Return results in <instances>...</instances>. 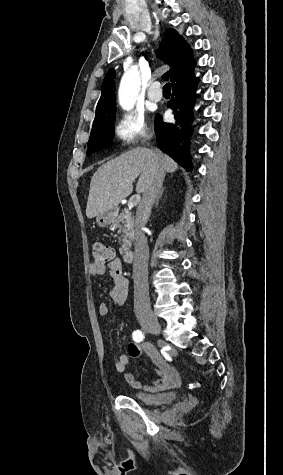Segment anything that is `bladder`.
Returning <instances> with one entry per match:
<instances>
[{
  "mask_svg": "<svg viewBox=\"0 0 283 475\" xmlns=\"http://www.w3.org/2000/svg\"><path fill=\"white\" fill-rule=\"evenodd\" d=\"M130 398L146 405H158L167 403L170 400L175 402L177 394L173 392L150 394L145 391L134 390L131 392Z\"/></svg>",
  "mask_w": 283,
  "mask_h": 475,
  "instance_id": "1",
  "label": "bladder"
}]
</instances>
